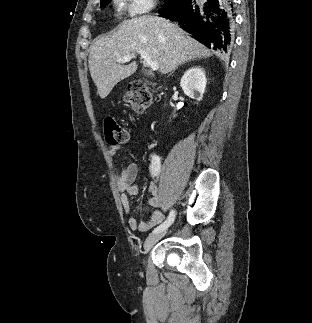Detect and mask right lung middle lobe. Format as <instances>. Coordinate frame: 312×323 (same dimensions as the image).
Segmentation results:
<instances>
[{"mask_svg":"<svg viewBox=\"0 0 312 323\" xmlns=\"http://www.w3.org/2000/svg\"><path fill=\"white\" fill-rule=\"evenodd\" d=\"M111 0H107L105 3H102L101 6H103L104 4L110 2ZM180 0H165L163 8H171L174 4H176L177 2H179Z\"/></svg>","mask_w":312,"mask_h":323,"instance_id":"obj_1","label":"right lung middle lobe"}]
</instances>
